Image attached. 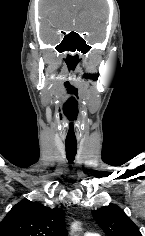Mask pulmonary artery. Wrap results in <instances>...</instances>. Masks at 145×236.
<instances>
[{"label":"pulmonary artery","instance_id":"pulmonary-artery-1","mask_svg":"<svg viewBox=\"0 0 145 236\" xmlns=\"http://www.w3.org/2000/svg\"><path fill=\"white\" fill-rule=\"evenodd\" d=\"M85 236H99V235L96 234V233H91V232H90V233H86Z\"/></svg>","mask_w":145,"mask_h":236}]
</instances>
